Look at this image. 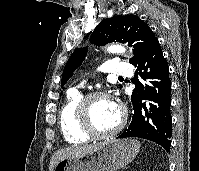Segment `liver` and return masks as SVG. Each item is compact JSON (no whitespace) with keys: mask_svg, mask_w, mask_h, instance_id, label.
Wrapping results in <instances>:
<instances>
[{"mask_svg":"<svg viewBox=\"0 0 199 171\" xmlns=\"http://www.w3.org/2000/svg\"><path fill=\"white\" fill-rule=\"evenodd\" d=\"M100 144L101 143L87 146H70L54 152L50 160L49 170L53 171L59 161L89 153L95 150Z\"/></svg>","mask_w":199,"mask_h":171,"instance_id":"obj_1","label":"liver"}]
</instances>
